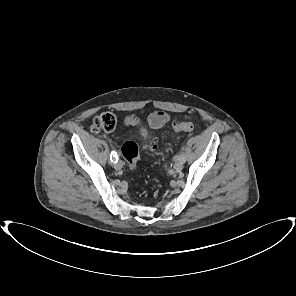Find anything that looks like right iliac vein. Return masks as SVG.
I'll use <instances>...</instances> for the list:
<instances>
[{
    "label": "right iliac vein",
    "mask_w": 296,
    "mask_h": 296,
    "mask_svg": "<svg viewBox=\"0 0 296 296\" xmlns=\"http://www.w3.org/2000/svg\"><path fill=\"white\" fill-rule=\"evenodd\" d=\"M122 167H123V163H122V161H117V162L114 164V168H115L116 170H120Z\"/></svg>",
    "instance_id": "1"
}]
</instances>
